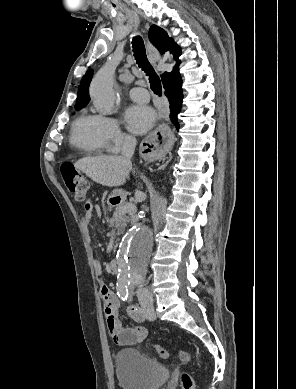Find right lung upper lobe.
<instances>
[{"label":"right lung upper lobe","mask_w":296,"mask_h":389,"mask_svg":"<svg viewBox=\"0 0 296 389\" xmlns=\"http://www.w3.org/2000/svg\"><path fill=\"white\" fill-rule=\"evenodd\" d=\"M149 39L152 42V44L160 51V53H164L165 51L170 50V52L173 54L174 59L176 60V67L171 73L165 72L162 76V82H165L168 78L174 75H178V66L180 64V60L178 57L181 54L180 47L174 43L173 39L168 36V34L160 27L156 25H152L149 30ZM92 71L89 70L82 78L79 90H78V96L76 101L75 108L78 107H85L90 98L88 93L89 84L91 81Z\"/></svg>","instance_id":"cb5924a9"}]
</instances>
